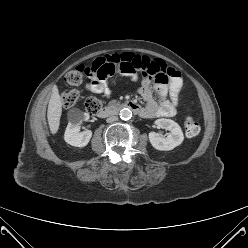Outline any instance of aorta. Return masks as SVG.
Wrapping results in <instances>:
<instances>
[{"label":"aorta","instance_id":"1","mask_svg":"<svg viewBox=\"0 0 248 248\" xmlns=\"http://www.w3.org/2000/svg\"><path fill=\"white\" fill-rule=\"evenodd\" d=\"M132 117V111L128 108H124L120 111V118L122 120H129Z\"/></svg>","mask_w":248,"mask_h":248}]
</instances>
